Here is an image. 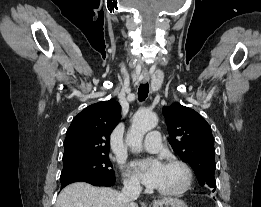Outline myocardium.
<instances>
[{
  "label": "myocardium",
  "mask_w": 261,
  "mask_h": 207,
  "mask_svg": "<svg viewBox=\"0 0 261 207\" xmlns=\"http://www.w3.org/2000/svg\"><path fill=\"white\" fill-rule=\"evenodd\" d=\"M165 165H172V166H177L182 169L184 173V180L182 185L174 190H160L157 189V192L160 195L163 196H168V197H173V196H179L185 193L191 186L192 184V172L190 167L183 161L178 160V159H169Z\"/></svg>",
  "instance_id": "obj_1"
}]
</instances>
